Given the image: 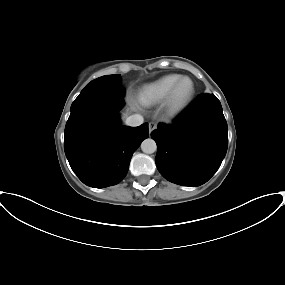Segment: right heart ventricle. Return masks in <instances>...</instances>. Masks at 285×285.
Here are the masks:
<instances>
[{"instance_id":"1","label":"right heart ventricle","mask_w":285,"mask_h":285,"mask_svg":"<svg viewBox=\"0 0 285 285\" xmlns=\"http://www.w3.org/2000/svg\"><path fill=\"white\" fill-rule=\"evenodd\" d=\"M181 77L183 76L179 74H169L144 85L138 93L139 103L143 106H153L163 102Z\"/></svg>"}]
</instances>
